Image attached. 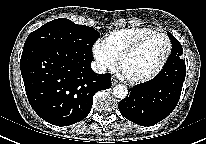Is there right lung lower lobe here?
<instances>
[{
  "label": "right lung lower lobe",
  "instance_id": "right-lung-lower-lobe-1",
  "mask_svg": "<svg viewBox=\"0 0 206 144\" xmlns=\"http://www.w3.org/2000/svg\"><path fill=\"white\" fill-rule=\"evenodd\" d=\"M93 57L55 45L23 48L20 67L28 101L45 121L75 124L88 116L93 96L111 87L110 74H97Z\"/></svg>",
  "mask_w": 206,
  "mask_h": 144
}]
</instances>
